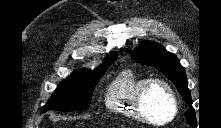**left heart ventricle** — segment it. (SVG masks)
<instances>
[{
  "mask_svg": "<svg viewBox=\"0 0 221 128\" xmlns=\"http://www.w3.org/2000/svg\"><path fill=\"white\" fill-rule=\"evenodd\" d=\"M145 109L154 122L163 123L172 114V107L165 91L155 86L151 88L145 99Z\"/></svg>",
  "mask_w": 221,
  "mask_h": 128,
  "instance_id": "obj_1",
  "label": "left heart ventricle"
}]
</instances>
